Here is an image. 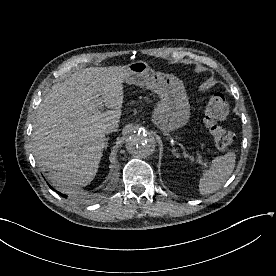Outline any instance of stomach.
Instances as JSON below:
<instances>
[{
  "label": "stomach",
  "instance_id": "0dacf381",
  "mask_svg": "<svg viewBox=\"0 0 276 276\" xmlns=\"http://www.w3.org/2000/svg\"><path fill=\"white\" fill-rule=\"evenodd\" d=\"M126 83L145 87L160 97L153 122L164 132L184 126L190 117V105L183 82L173 74L157 72L144 61L127 65Z\"/></svg>",
  "mask_w": 276,
  "mask_h": 276
}]
</instances>
